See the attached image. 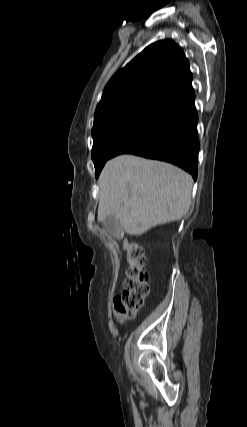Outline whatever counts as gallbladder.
I'll return each mask as SVG.
<instances>
[{
	"instance_id": "1",
	"label": "gallbladder",
	"mask_w": 247,
	"mask_h": 427,
	"mask_svg": "<svg viewBox=\"0 0 247 427\" xmlns=\"http://www.w3.org/2000/svg\"><path fill=\"white\" fill-rule=\"evenodd\" d=\"M103 225L107 232L114 238H121L123 236V228L120 221L114 215H108L103 220Z\"/></svg>"
}]
</instances>
